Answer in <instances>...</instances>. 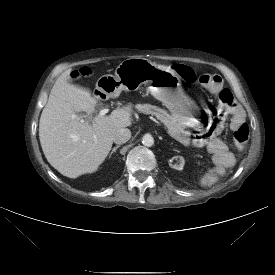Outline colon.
Instances as JSON below:
<instances>
[{
    "instance_id": "5ec220e1",
    "label": "colon",
    "mask_w": 275,
    "mask_h": 275,
    "mask_svg": "<svg viewBox=\"0 0 275 275\" xmlns=\"http://www.w3.org/2000/svg\"><path fill=\"white\" fill-rule=\"evenodd\" d=\"M177 72L183 77V79L189 83L198 82L204 86H212L216 84L220 78L217 75L213 74H201L199 76L195 75V73L186 66L177 65L175 66ZM90 74L89 69L82 68L79 71H75L72 74L73 79H78L82 77H87ZM219 102H220V109L215 116L214 119V126L219 127L220 125L224 124L228 114L232 111L236 102L234 100L232 92L224 88L219 93ZM249 139V128L248 126H242L237 129L234 133V142L237 148L242 149Z\"/></svg>"
}]
</instances>
